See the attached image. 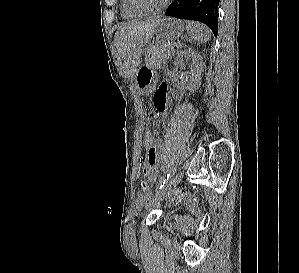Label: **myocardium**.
Instances as JSON below:
<instances>
[{"label":"myocardium","instance_id":"obj_1","mask_svg":"<svg viewBox=\"0 0 299 273\" xmlns=\"http://www.w3.org/2000/svg\"><path fill=\"white\" fill-rule=\"evenodd\" d=\"M130 7L141 14L144 15H153L161 13L163 10H165L170 2V0H164L158 7L156 8H150L145 6L141 0H128Z\"/></svg>","mask_w":299,"mask_h":273}]
</instances>
